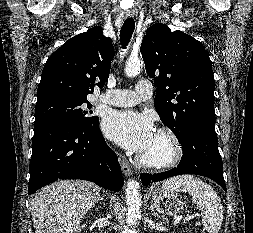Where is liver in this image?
<instances>
[{"instance_id":"liver-1","label":"liver","mask_w":253,"mask_h":233,"mask_svg":"<svg viewBox=\"0 0 253 233\" xmlns=\"http://www.w3.org/2000/svg\"><path fill=\"white\" fill-rule=\"evenodd\" d=\"M100 191L84 180H60L41 189L31 200L35 233H78Z\"/></svg>"}]
</instances>
